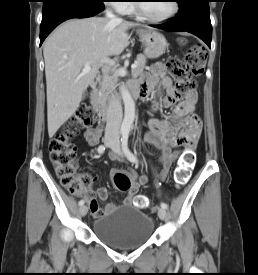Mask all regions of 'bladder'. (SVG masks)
<instances>
[{
	"label": "bladder",
	"instance_id": "bladder-1",
	"mask_svg": "<svg viewBox=\"0 0 258 275\" xmlns=\"http://www.w3.org/2000/svg\"><path fill=\"white\" fill-rule=\"evenodd\" d=\"M93 233L119 249H133L148 242L154 232L150 215L132 206L102 215L93 222Z\"/></svg>",
	"mask_w": 258,
	"mask_h": 275
}]
</instances>
